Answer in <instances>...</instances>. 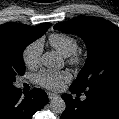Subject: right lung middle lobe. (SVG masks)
Returning <instances> with one entry per match:
<instances>
[{"label": "right lung middle lobe", "instance_id": "1", "mask_svg": "<svg viewBox=\"0 0 119 119\" xmlns=\"http://www.w3.org/2000/svg\"><path fill=\"white\" fill-rule=\"evenodd\" d=\"M36 39L35 36L19 33L10 36L0 45V90L14 88L16 76L25 73L23 51Z\"/></svg>", "mask_w": 119, "mask_h": 119}]
</instances>
